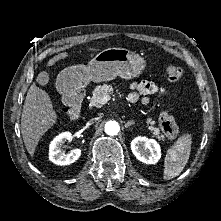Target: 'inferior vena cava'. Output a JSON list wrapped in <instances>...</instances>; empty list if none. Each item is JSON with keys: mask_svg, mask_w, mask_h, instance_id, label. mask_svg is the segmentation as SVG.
<instances>
[{"mask_svg": "<svg viewBox=\"0 0 221 221\" xmlns=\"http://www.w3.org/2000/svg\"><path fill=\"white\" fill-rule=\"evenodd\" d=\"M89 122H90V123H93V122H94V119H91Z\"/></svg>", "mask_w": 221, "mask_h": 221, "instance_id": "602c4592", "label": "inferior vena cava"}]
</instances>
